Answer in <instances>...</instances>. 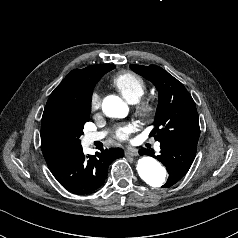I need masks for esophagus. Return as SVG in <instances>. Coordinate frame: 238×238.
Here are the masks:
<instances>
[{
    "label": "esophagus",
    "mask_w": 238,
    "mask_h": 238,
    "mask_svg": "<svg viewBox=\"0 0 238 238\" xmlns=\"http://www.w3.org/2000/svg\"><path fill=\"white\" fill-rule=\"evenodd\" d=\"M125 155L126 156H137L138 155V151H137V149H134V148H127L126 150H125Z\"/></svg>",
    "instance_id": "34e87169"
}]
</instances>
